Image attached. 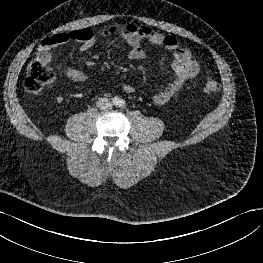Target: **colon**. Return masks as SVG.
<instances>
[{"label": "colon", "mask_w": 263, "mask_h": 263, "mask_svg": "<svg viewBox=\"0 0 263 263\" xmlns=\"http://www.w3.org/2000/svg\"><path fill=\"white\" fill-rule=\"evenodd\" d=\"M55 79L54 69L42 62L40 59H33L27 67V75L24 86L31 93L40 92L45 86L52 83ZM220 89V84L214 77H207L202 86L205 94H214Z\"/></svg>", "instance_id": "5ec220e1"}]
</instances>
